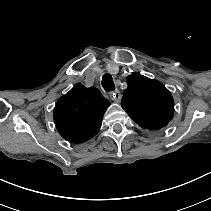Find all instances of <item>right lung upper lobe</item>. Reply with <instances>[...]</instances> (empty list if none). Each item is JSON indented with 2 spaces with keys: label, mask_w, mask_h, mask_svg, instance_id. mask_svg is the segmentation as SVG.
<instances>
[{
  "label": "right lung upper lobe",
  "mask_w": 211,
  "mask_h": 211,
  "mask_svg": "<svg viewBox=\"0 0 211 211\" xmlns=\"http://www.w3.org/2000/svg\"><path fill=\"white\" fill-rule=\"evenodd\" d=\"M109 105L97 88L77 84L56 102L54 123L64 139L81 143L97 134Z\"/></svg>",
  "instance_id": "obj_1"
}]
</instances>
